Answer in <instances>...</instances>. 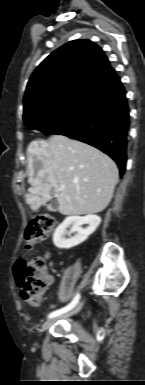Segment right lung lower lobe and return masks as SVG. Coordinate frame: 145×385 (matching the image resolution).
<instances>
[{"label": "right lung lower lobe", "instance_id": "obj_1", "mask_svg": "<svg viewBox=\"0 0 145 385\" xmlns=\"http://www.w3.org/2000/svg\"><path fill=\"white\" fill-rule=\"evenodd\" d=\"M129 124L127 98L118 79L97 91L81 111L51 134H61L100 149L117 163L123 175Z\"/></svg>", "mask_w": 145, "mask_h": 385}]
</instances>
